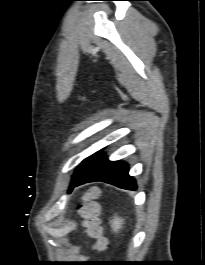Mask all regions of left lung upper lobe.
Segmentation results:
<instances>
[{"instance_id": "5c2ea615", "label": "left lung upper lobe", "mask_w": 205, "mask_h": 265, "mask_svg": "<svg viewBox=\"0 0 205 265\" xmlns=\"http://www.w3.org/2000/svg\"><path fill=\"white\" fill-rule=\"evenodd\" d=\"M101 151L95 153L94 155L86 158L80 165L79 167L76 169L74 175H73V178H72V181H71V184L72 182L74 181V179H76L84 170L85 168L90 164L92 163L100 154ZM71 188V186H70ZM70 188H69V191H70Z\"/></svg>"}]
</instances>
